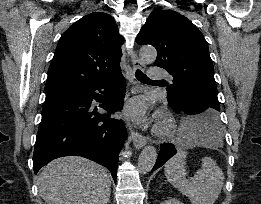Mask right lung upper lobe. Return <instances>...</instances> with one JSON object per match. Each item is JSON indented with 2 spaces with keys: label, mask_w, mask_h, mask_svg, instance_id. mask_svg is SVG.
Returning a JSON list of instances; mask_svg holds the SVG:
<instances>
[{
  "label": "right lung upper lobe",
  "mask_w": 261,
  "mask_h": 204,
  "mask_svg": "<svg viewBox=\"0 0 261 204\" xmlns=\"http://www.w3.org/2000/svg\"><path fill=\"white\" fill-rule=\"evenodd\" d=\"M123 38L109 14L90 13L63 33L49 66L46 95L83 86L120 71Z\"/></svg>",
  "instance_id": "right-lung-upper-lobe-1"
}]
</instances>
